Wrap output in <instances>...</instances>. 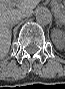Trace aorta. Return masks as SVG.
<instances>
[{
    "instance_id": "762f6f07",
    "label": "aorta",
    "mask_w": 65,
    "mask_h": 89,
    "mask_svg": "<svg viewBox=\"0 0 65 89\" xmlns=\"http://www.w3.org/2000/svg\"><path fill=\"white\" fill-rule=\"evenodd\" d=\"M36 21L42 25H48L52 21V13L47 7H40L35 12Z\"/></svg>"
}]
</instances>
